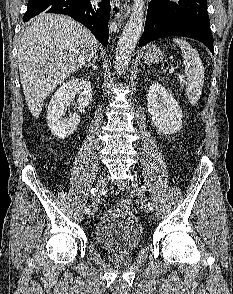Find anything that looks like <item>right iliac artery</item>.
Instances as JSON below:
<instances>
[{
    "mask_svg": "<svg viewBox=\"0 0 233 294\" xmlns=\"http://www.w3.org/2000/svg\"><path fill=\"white\" fill-rule=\"evenodd\" d=\"M96 193H97V188H92V189L90 190V196H91V197L95 196ZM90 211H91L90 207H89V206L86 207V209H85V213H86V214H89Z\"/></svg>",
    "mask_w": 233,
    "mask_h": 294,
    "instance_id": "1",
    "label": "right iliac artery"
}]
</instances>
